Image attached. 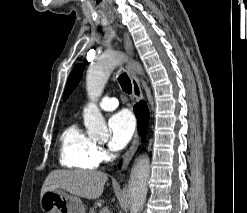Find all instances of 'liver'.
I'll return each instance as SVG.
<instances>
[{
	"label": "liver",
	"mask_w": 247,
	"mask_h": 213,
	"mask_svg": "<svg viewBox=\"0 0 247 213\" xmlns=\"http://www.w3.org/2000/svg\"><path fill=\"white\" fill-rule=\"evenodd\" d=\"M108 176L100 171L54 170L45 179L41 194L48 190H64L75 197L99 198Z\"/></svg>",
	"instance_id": "6515ba94"
}]
</instances>
